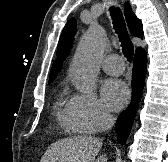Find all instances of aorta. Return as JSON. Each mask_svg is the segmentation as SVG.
I'll return each mask as SVG.
<instances>
[{
  "label": "aorta",
  "instance_id": "obj_1",
  "mask_svg": "<svg viewBox=\"0 0 168 162\" xmlns=\"http://www.w3.org/2000/svg\"><path fill=\"white\" fill-rule=\"evenodd\" d=\"M107 36L96 23L89 26L74 55L70 75L75 87L82 93L93 91L99 70V62L104 54Z\"/></svg>",
  "mask_w": 168,
  "mask_h": 162
}]
</instances>
